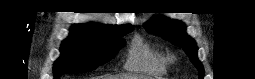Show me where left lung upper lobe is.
<instances>
[{"label": "left lung upper lobe", "instance_id": "1", "mask_svg": "<svg viewBox=\"0 0 255 79\" xmlns=\"http://www.w3.org/2000/svg\"><path fill=\"white\" fill-rule=\"evenodd\" d=\"M144 26L147 31L155 33L170 41L172 44L183 48L191 62L198 69L199 79L203 78L204 69L197 58L196 43L186 34L183 23L175 20H169L164 17H157L147 22Z\"/></svg>", "mask_w": 255, "mask_h": 79}]
</instances>
